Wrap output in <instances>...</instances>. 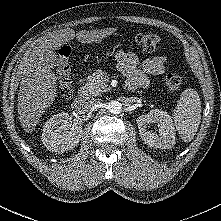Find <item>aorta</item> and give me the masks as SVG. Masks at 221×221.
Instances as JSON below:
<instances>
[{"label": "aorta", "instance_id": "aorta-1", "mask_svg": "<svg viewBox=\"0 0 221 221\" xmlns=\"http://www.w3.org/2000/svg\"><path fill=\"white\" fill-rule=\"evenodd\" d=\"M107 109L112 114H119L122 109V104L119 101H111L108 103Z\"/></svg>", "mask_w": 221, "mask_h": 221}]
</instances>
